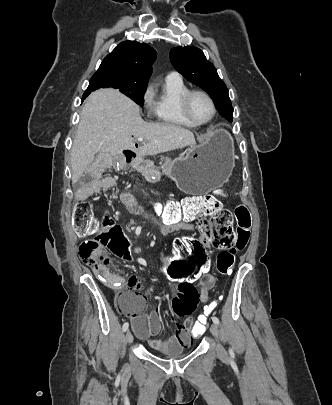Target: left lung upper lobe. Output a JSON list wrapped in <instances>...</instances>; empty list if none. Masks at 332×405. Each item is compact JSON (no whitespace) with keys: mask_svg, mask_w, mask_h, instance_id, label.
<instances>
[{"mask_svg":"<svg viewBox=\"0 0 332 405\" xmlns=\"http://www.w3.org/2000/svg\"><path fill=\"white\" fill-rule=\"evenodd\" d=\"M173 67L187 80L206 91L224 118L232 121L233 108L225 83L219 78L214 65L196 47H175L170 51Z\"/></svg>","mask_w":332,"mask_h":405,"instance_id":"obj_1","label":"left lung upper lobe"}]
</instances>
